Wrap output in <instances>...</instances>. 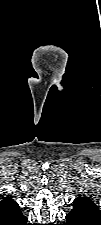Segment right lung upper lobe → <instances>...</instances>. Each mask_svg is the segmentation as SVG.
Returning <instances> with one entry per match:
<instances>
[{
	"label": "right lung upper lobe",
	"instance_id": "1",
	"mask_svg": "<svg viewBox=\"0 0 101 225\" xmlns=\"http://www.w3.org/2000/svg\"><path fill=\"white\" fill-rule=\"evenodd\" d=\"M24 218L17 202L11 197L3 198L0 202V225H19Z\"/></svg>",
	"mask_w": 101,
	"mask_h": 225
}]
</instances>
